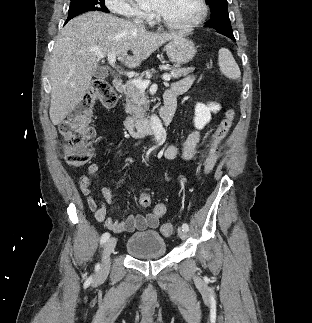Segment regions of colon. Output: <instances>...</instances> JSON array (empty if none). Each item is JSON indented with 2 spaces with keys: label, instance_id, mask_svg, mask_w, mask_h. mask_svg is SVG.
<instances>
[{
  "label": "colon",
  "instance_id": "obj_1",
  "mask_svg": "<svg viewBox=\"0 0 312 323\" xmlns=\"http://www.w3.org/2000/svg\"><path fill=\"white\" fill-rule=\"evenodd\" d=\"M94 93L98 96L99 103L105 107H112L117 101V95L106 77H99L93 81ZM234 121V109L230 108L216 128L207 155L203 163V172L211 173L219 157V146L227 137ZM61 133L64 137V149L67 152L68 163L76 168L89 164L93 157L91 141L94 137V130L89 125V115L83 112L79 117H70L61 123ZM150 197L142 195L139 198L141 205L150 203ZM166 207L165 202H156L154 213H163ZM164 235H171L174 232L172 223H164L161 226Z\"/></svg>",
  "mask_w": 312,
  "mask_h": 323
}]
</instances>
